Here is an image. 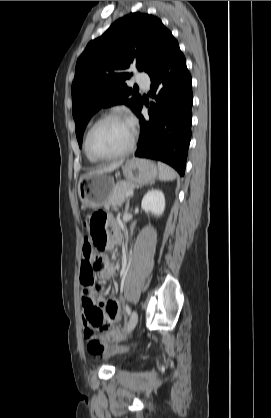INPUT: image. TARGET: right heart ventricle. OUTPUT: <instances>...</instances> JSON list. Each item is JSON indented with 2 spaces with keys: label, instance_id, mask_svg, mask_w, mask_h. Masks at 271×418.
I'll return each instance as SVG.
<instances>
[{
  "label": "right heart ventricle",
  "instance_id": "1",
  "mask_svg": "<svg viewBox=\"0 0 271 418\" xmlns=\"http://www.w3.org/2000/svg\"><path fill=\"white\" fill-rule=\"evenodd\" d=\"M85 153H86V156H87V158H88V160H89L90 162H93V163L97 162V160H96V159L92 158V157H91V156L87 153L86 149H85Z\"/></svg>",
  "mask_w": 271,
  "mask_h": 418
}]
</instances>
